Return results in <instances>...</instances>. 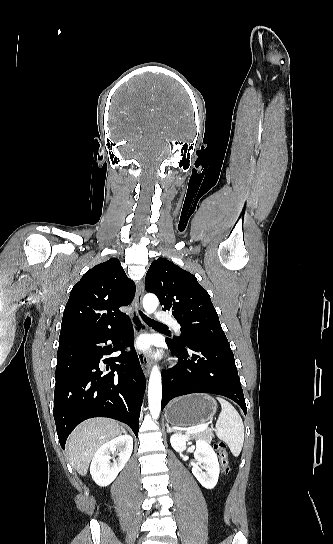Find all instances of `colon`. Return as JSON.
I'll use <instances>...</instances> for the list:
<instances>
[{
  "instance_id": "obj_1",
  "label": "colon",
  "mask_w": 333,
  "mask_h": 544,
  "mask_svg": "<svg viewBox=\"0 0 333 544\" xmlns=\"http://www.w3.org/2000/svg\"><path fill=\"white\" fill-rule=\"evenodd\" d=\"M214 449L217 451L220 459L222 474L227 475L229 473L227 446L223 441H218L215 443Z\"/></svg>"
}]
</instances>
